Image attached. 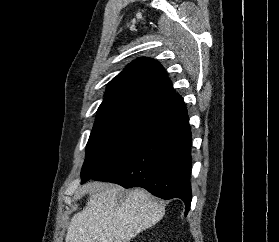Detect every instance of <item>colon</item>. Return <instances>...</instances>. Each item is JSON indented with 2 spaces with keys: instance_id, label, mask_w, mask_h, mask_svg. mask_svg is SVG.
Returning a JSON list of instances; mask_svg holds the SVG:
<instances>
[{
  "instance_id": "1",
  "label": "colon",
  "mask_w": 279,
  "mask_h": 242,
  "mask_svg": "<svg viewBox=\"0 0 279 242\" xmlns=\"http://www.w3.org/2000/svg\"><path fill=\"white\" fill-rule=\"evenodd\" d=\"M129 242H136V241L131 240V241H129Z\"/></svg>"
}]
</instances>
